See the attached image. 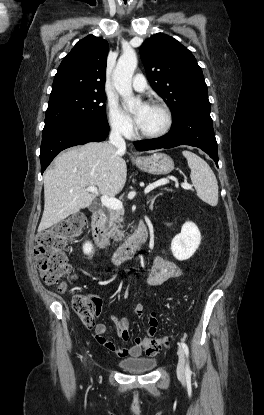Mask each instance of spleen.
Returning a JSON list of instances; mask_svg holds the SVG:
<instances>
[{
	"mask_svg": "<svg viewBox=\"0 0 264 415\" xmlns=\"http://www.w3.org/2000/svg\"><path fill=\"white\" fill-rule=\"evenodd\" d=\"M191 169V181L198 197L211 206L218 203V183L210 166L201 157L191 151H183Z\"/></svg>",
	"mask_w": 264,
	"mask_h": 415,
	"instance_id": "spleen-1",
	"label": "spleen"
}]
</instances>
